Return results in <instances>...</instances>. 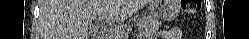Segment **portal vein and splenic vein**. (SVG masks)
Segmentation results:
<instances>
[{
  "label": "portal vein and splenic vein",
  "mask_w": 249,
  "mask_h": 39,
  "mask_svg": "<svg viewBox=\"0 0 249 39\" xmlns=\"http://www.w3.org/2000/svg\"><path fill=\"white\" fill-rule=\"evenodd\" d=\"M102 19V18H101ZM115 33H122V30L121 29H118V30H115L114 31Z\"/></svg>",
  "instance_id": "portal-vein-and-splenic-vein-1"
}]
</instances>
